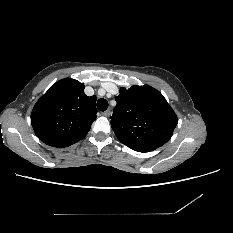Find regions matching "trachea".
<instances>
[{
	"label": "trachea",
	"mask_w": 233,
	"mask_h": 233,
	"mask_svg": "<svg viewBox=\"0 0 233 233\" xmlns=\"http://www.w3.org/2000/svg\"><path fill=\"white\" fill-rule=\"evenodd\" d=\"M97 108L100 110V111H105L107 110L108 108V101L106 99H99L97 101Z\"/></svg>",
	"instance_id": "3493384b"
}]
</instances>
